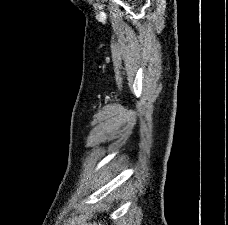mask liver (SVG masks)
I'll use <instances>...</instances> for the list:
<instances>
[{"mask_svg": "<svg viewBox=\"0 0 228 225\" xmlns=\"http://www.w3.org/2000/svg\"><path fill=\"white\" fill-rule=\"evenodd\" d=\"M88 225H90V223H88ZM94 225H101V223H94Z\"/></svg>", "mask_w": 228, "mask_h": 225, "instance_id": "obj_1", "label": "liver"}]
</instances>
